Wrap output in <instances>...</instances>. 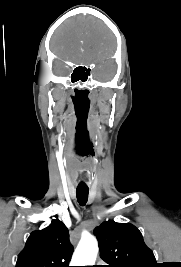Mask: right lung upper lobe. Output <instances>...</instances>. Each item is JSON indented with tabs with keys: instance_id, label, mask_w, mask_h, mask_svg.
<instances>
[{
	"instance_id": "obj_1",
	"label": "right lung upper lobe",
	"mask_w": 181,
	"mask_h": 267,
	"mask_svg": "<svg viewBox=\"0 0 181 267\" xmlns=\"http://www.w3.org/2000/svg\"><path fill=\"white\" fill-rule=\"evenodd\" d=\"M72 252L68 229L56 219L30 234L15 267H70Z\"/></svg>"
}]
</instances>
